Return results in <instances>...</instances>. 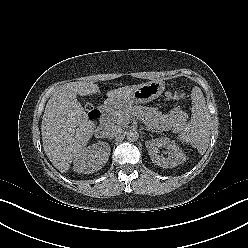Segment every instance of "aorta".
Returning <instances> with one entry per match:
<instances>
[{"instance_id":"762f6f07","label":"aorta","mask_w":248,"mask_h":248,"mask_svg":"<svg viewBox=\"0 0 248 248\" xmlns=\"http://www.w3.org/2000/svg\"><path fill=\"white\" fill-rule=\"evenodd\" d=\"M126 137H127V140L130 141V142H135L138 140L139 138V134L136 130H129L127 133H126Z\"/></svg>"}]
</instances>
